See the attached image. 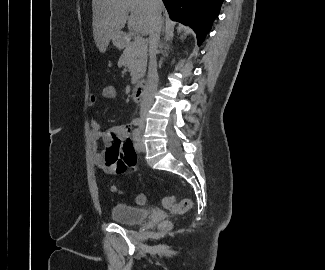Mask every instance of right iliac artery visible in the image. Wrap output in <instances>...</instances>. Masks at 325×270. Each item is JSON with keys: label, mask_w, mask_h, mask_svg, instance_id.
I'll return each mask as SVG.
<instances>
[{"label": "right iliac artery", "mask_w": 325, "mask_h": 270, "mask_svg": "<svg viewBox=\"0 0 325 270\" xmlns=\"http://www.w3.org/2000/svg\"><path fill=\"white\" fill-rule=\"evenodd\" d=\"M140 124H141V119H140V118H135V119L133 120V125L138 126V125H140Z\"/></svg>", "instance_id": "82829eb1"}]
</instances>
